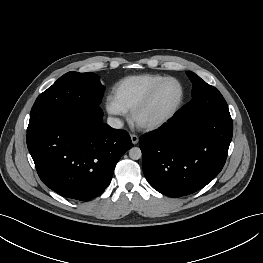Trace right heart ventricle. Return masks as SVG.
Returning a JSON list of instances; mask_svg holds the SVG:
<instances>
[{
  "label": "right heart ventricle",
  "mask_w": 263,
  "mask_h": 263,
  "mask_svg": "<svg viewBox=\"0 0 263 263\" xmlns=\"http://www.w3.org/2000/svg\"><path fill=\"white\" fill-rule=\"evenodd\" d=\"M163 77L159 74H140L122 78L113 85L111 99L122 112H131Z\"/></svg>",
  "instance_id": "1"
}]
</instances>
